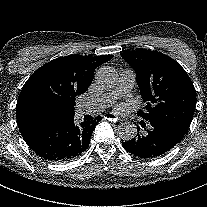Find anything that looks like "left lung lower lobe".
<instances>
[{"mask_svg":"<svg viewBox=\"0 0 207 207\" xmlns=\"http://www.w3.org/2000/svg\"><path fill=\"white\" fill-rule=\"evenodd\" d=\"M144 128V121L140 122ZM140 127H137L139 132ZM148 134L139 135L130 141L122 142L124 149L138 157L154 158L161 156L171 150L182 138L178 137L172 130L157 124H151Z\"/></svg>","mask_w":207,"mask_h":207,"instance_id":"obj_1","label":"left lung lower lobe"}]
</instances>
